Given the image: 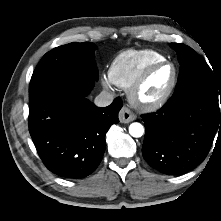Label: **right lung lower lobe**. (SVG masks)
Returning <instances> with one entry per match:
<instances>
[{"label":"right lung lower lobe","instance_id":"right-lung-lower-lobe-1","mask_svg":"<svg viewBox=\"0 0 221 221\" xmlns=\"http://www.w3.org/2000/svg\"><path fill=\"white\" fill-rule=\"evenodd\" d=\"M94 80L67 75L29 96V131L44 165L66 179L90 175L106 147L105 135L118 123L122 102L99 108L86 99Z\"/></svg>","mask_w":221,"mask_h":221}]
</instances>
